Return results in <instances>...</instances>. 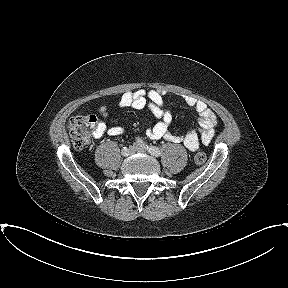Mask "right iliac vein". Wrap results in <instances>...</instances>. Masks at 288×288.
<instances>
[{"label": "right iliac vein", "instance_id": "obj_1", "mask_svg": "<svg viewBox=\"0 0 288 288\" xmlns=\"http://www.w3.org/2000/svg\"><path fill=\"white\" fill-rule=\"evenodd\" d=\"M127 149H128V155H127V156L131 155V154L134 152V149H133L132 146H130V147L127 148ZM127 156H125V157H127Z\"/></svg>", "mask_w": 288, "mask_h": 288}]
</instances>
